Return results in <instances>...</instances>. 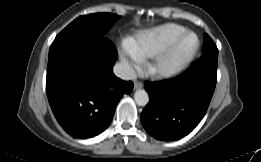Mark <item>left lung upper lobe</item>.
I'll return each instance as SVG.
<instances>
[{"label": "left lung upper lobe", "mask_w": 261, "mask_h": 162, "mask_svg": "<svg viewBox=\"0 0 261 162\" xmlns=\"http://www.w3.org/2000/svg\"><path fill=\"white\" fill-rule=\"evenodd\" d=\"M202 54L203 55H218V49H217L215 43L207 34H204Z\"/></svg>", "instance_id": "5c2ea615"}]
</instances>
